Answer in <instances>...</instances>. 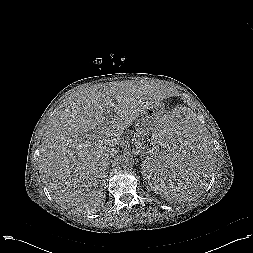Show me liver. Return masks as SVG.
<instances>
[{"label": "liver", "mask_w": 253, "mask_h": 253, "mask_svg": "<svg viewBox=\"0 0 253 253\" xmlns=\"http://www.w3.org/2000/svg\"><path fill=\"white\" fill-rule=\"evenodd\" d=\"M160 86L97 84L74 94L47 125L39 172L54 201L94 213L105 202L108 147L159 100ZM114 112V113H113Z\"/></svg>", "instance_id": "1"}]
</instances>
